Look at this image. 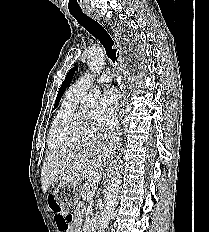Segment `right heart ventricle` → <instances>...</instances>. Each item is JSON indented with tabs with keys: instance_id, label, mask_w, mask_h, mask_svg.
<instances>
[{
	"instance_id": "1",
	"label": "right heart ventricle",
	"mask_w": 209,
	"mask_h": 232,
	"mask_svg": "<svg viewBox=\"0 0 209 232\" xmlns=\"http://www.w3.org/2000/svg\"><path fill=\"white\" fill-rule=\"evenodd\" d=\"M83 96L73 93L71 89L66 92L48 134L47 143L51 150L64 149L88 138L72 135L67 130Z\"/></svg>"
}]
</instances>
